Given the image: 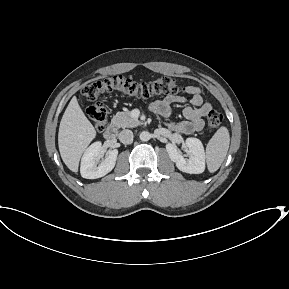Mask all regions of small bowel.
I'll list each match as a JSON object with an SVG mask.
<instances>
[{
  "mask_svg": "<svg viewBox=\"0 0 289 289\" xmlns=\"http://www.w3.org/2000/svg\"><path fill=\"white\" fill-rule=\"evenodd\" d=\"M185 92L190 95L189 105L183 110L185 120L170 123L171 130L182 134H192L200 131L204 126V117L211 111L212 106L204 102L201 90L195 86L185 87ZM187 99L180 95H168L161 100L154 101L150 105L151 111L167 118L171 114V107L174 104H185Z\"/></svg>",
  "mask_w": 289,
  "mask_h": 289,
  "instance_id": "1",
  "label": "small bowel"
}]
</instances>
